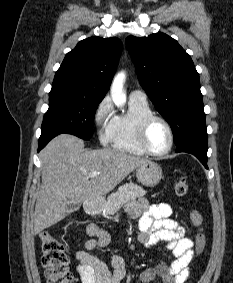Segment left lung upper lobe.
Here are the masks:
<instances>
[{"label":"left lung upper lobe","mask_w":233,"mask_h":283,"mask_svg":"<svg viewBox=\"0 0 233 283\" xmlns=\"http://www.w3.org/2000/svg\"><path fill=\"white\" fill-rule=\"evenodd\" d=\"M142 88L170 124L176 146L207 140L199 74L189 54L164 33L125 40Z\"/></svg>","instance_id":"5c2ea615"}]
</instances>
